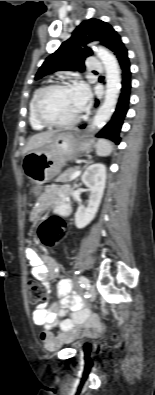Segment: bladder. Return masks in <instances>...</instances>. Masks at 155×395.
Masks as SVG:
<instances>
[{
  "instance_id": "31cf9c89",
  "label": "bladder",
  "mask_w": 155,
  "mask_h": 395,
  "mask_svg": "<svg viewBox=\"0 0 155 395\" xmlns=\"http://www.w3.org/2000/svg\"><path fill=\"white\" fill-rule=\"evenodd\" d=\"M69 346L75 350L87 352L93 349L94 341L92 338H83L73 341Z\"/></svg>"
}]
</instances>
